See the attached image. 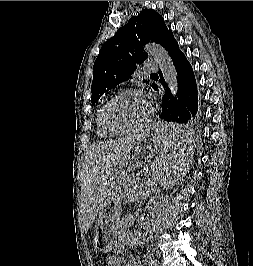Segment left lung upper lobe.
I'll list each match as a JSON object with an SVG mask.
<instances>
[{
  "mask_svg": "<svg viewBox=\"0 0 253 266\" xmlns=\"http://www.w3.org/2000/svg\"><path fill=\"white\" fill-rule=\"evenodd\" d=\"M172 34L164 19L156 11L145 9L104 43L95 62L92 81V106L115 85L126 81L137 68V64L148 58L144 45L148 42L164 46Z\"/></svg>",
  "mask_w": 253,
  "mask_h": 266,
  "instance_id": "obj_1",
  "label": "left lung upper lobe"
}]
</instances>
